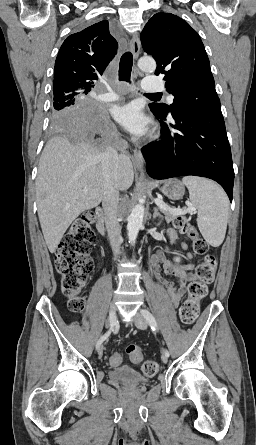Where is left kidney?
<instances>
[{"mask_svg":"<svg viewBox=\"0 0 256 445\" xmlns=\"http://www.w3.org/2000/svg\"><path fill=\"white\" fill-rule=\"evenodd\" d=\"M174 260H175L176 262H180V258H179V257L174 258Z\"/></svg>","mask_w":256,"mask_h":445,"instance_id":"left-kidney-1","label":"left kidney"}]
</instances>
